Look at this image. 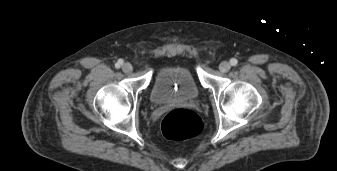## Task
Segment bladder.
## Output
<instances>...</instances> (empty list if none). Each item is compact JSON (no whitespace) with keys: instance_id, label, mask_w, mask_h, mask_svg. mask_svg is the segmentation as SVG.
Masks as SVG:
<instances>
[{"instance_id":"bladder-1","label":"bladder","mask_w":337,"mask_h":171,"mask_svg":"<svg viewBox=\"0 0 337 171\" xmlns=\"http://www.w3.org/2000/svg\"><path fill=\"white\" fill-rule=\"evenodd\" d=\"M200 90L192 71L185 65H165L155 75L151 100L156 105L196 100Z\"/></svg>"}]
</instances>
